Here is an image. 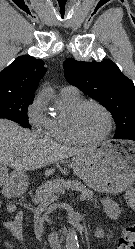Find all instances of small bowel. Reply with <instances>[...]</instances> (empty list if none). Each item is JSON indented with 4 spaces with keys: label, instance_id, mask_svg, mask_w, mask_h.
I'll use <instances>...</instances> for the list:
<instances>
[{
    "label": "small bowel",
    "instance_id": "c3829d8e",
    "mask_svg": "<svg viewBox=\"0 0 135 249\" xmlns=\"http://www.w3.org/2000/svg\"><path fill=\"white\" fill-rule=\"evenodd\" d=\"M1 204L2 202L0 201V206ZM102 205H103L106 216L110 220H114L118 217L119 208L111 199H104L102 201ZM7 211L10 213L15 212L16 206L14 204L7 205ZM23 217H24L23 212L18 211L15 215V218L12 221L2 222L3 225L6 226L12 232V234L20 241L23 238V232H22ZM96 236L97 237L109 236V231L103 230V229L97 230ZM17 249H23V247L18 246Z\"/></svg>",
    "mask_w": 135,
    "mask_h": 249
}]
</instances>
